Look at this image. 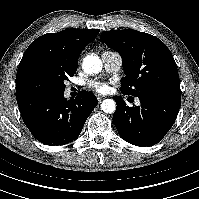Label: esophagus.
<instances>
[{"label": "esophagus", "mask_w": 199, "mask_h": 199, "mask_svg": "<svg viewBox=\"0 0 199 199\" xmlns=\"http://www.w3.org/2000/svg\"><path fill=\"white\" fill-rule=\"evenodd\" d=\"M96 97H97L98 101H102L105 98V96H102L100 94L96 95Z\"/></svg>", "instance_id": "obj_1"}]
</instances>
